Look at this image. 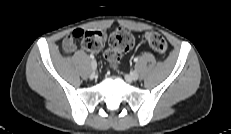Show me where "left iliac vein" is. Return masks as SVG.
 Returning a JSON list of instances; mask_svg holds the SVG:
<instances>
[{"label": "left iliac vein", "instance_id": "left-iliac-vein-1", "mask_svg": "<svg viewBox=\"0 0 231 134\" xmlns=\"http://www.w3.org/2000/svg\"><path fill=\"white\" fill-rule=\"evenodd\" d=\"M127 78L130 80V81H136L138 78H139V74L137 71H133L131 72Z\"/></svg>", "mask_w": 231, "mask_h": 134}]
</instances>
